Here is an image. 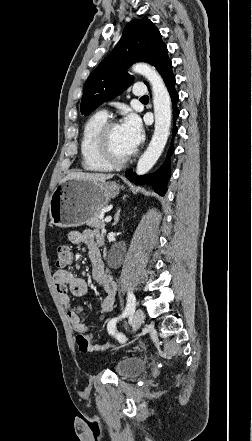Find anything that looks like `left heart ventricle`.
I'll return each mask as SVG.
<instances>
[{"label":"left heart ventricle","instance_id":"obj_1","mask_svg":"<svg viewBox=\"0 0 252 441\" xmlns=\"http://www.w3.org/2000/svg\"><path fill=\"white\" fill-rule=\"evenodd\" d=\"M108 144L112 156L117 159L124 158L131 153L126 145L121 125L111 130Z\"/></svg>","mask_w":252,"mask_h":441}]
</instances>
